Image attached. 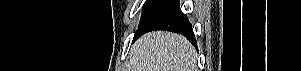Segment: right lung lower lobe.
<instances>
[{
	"label": "right lung lower lobe",
	"mask_w": 301,
	"mask_h": 71,
	"mask_svg": "<svg viewBox=\"0 0 301 71\" xmlns=\"http://www.w3.org/2000/svg\"><path fill=\"white\" fill-rule=\"evenodd\" d=\"M152 30H167L184 35L193 45H197L192 26L179 9L178 0H160L139 25L133 42Z\"/></svg>",
	"instance_id": "obj_1"
}]
</instances>
